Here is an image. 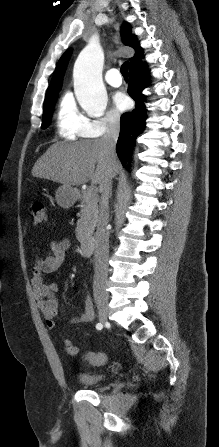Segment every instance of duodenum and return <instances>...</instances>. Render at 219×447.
Instances as JSON below:
<instances>
[{"label": "duodenum", "mask_w": 219, "mask_h": 447, "mask_svg": "<svg viewBox=\"0 0 219 447\" xmlns=\"http://www.w3.org/2000/svg\"><path fill=\"white\" fill-rule=\"evenodd\" d=\"M92 246H93V242L91 239L85 238L81 241V250L85 255L90 254Z\"/></svg>", "instance_id": "obj_1"}]
</instances>
